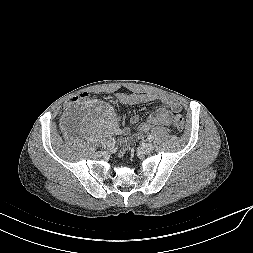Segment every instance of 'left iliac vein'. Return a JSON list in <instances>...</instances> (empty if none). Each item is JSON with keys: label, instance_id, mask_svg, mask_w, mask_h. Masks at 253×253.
<instances>
[{"label": "left iliac vein", "instance_id": "4c4485c4", "mask_svg": "<svg viewBox=\"0 0 253 253\" xmlns=\"http://www.w3.org/2000/svg\"><path fill=\"white\" fill-rule=\"evenodd\" d=\"M144 153H151L154 150V146L151 143H146L141 147Z\"/></svg>", "mask_w": 253, "mask_h": 253}]
</instances>
